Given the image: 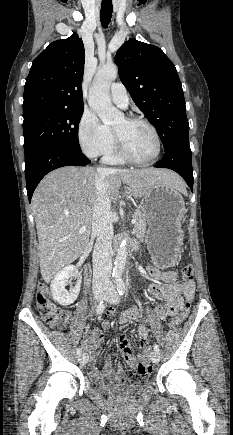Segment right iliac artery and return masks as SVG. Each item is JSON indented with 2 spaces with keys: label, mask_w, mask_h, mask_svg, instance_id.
Returning <instances> with one entry per match:
<instances>
[{
  "label": "right iliac artery",
  "mask_w": 233,
  "mask_h": 435,
  "mask_svg": "<svg viewBox=\"0 0 233 435\" xmlns=\"http://www.w3.org/2000/svg\"><path fill=\"white\" fill-rule=\"evenodd\" d=\"M105 309V303L103 301H101L97 307H96V313L97 314H101ZM82 354V350L80 348L77 349V355H81Z\"/></svg>",
  "instance_id": "right-iliac-artery-1"
}]
</instances>
